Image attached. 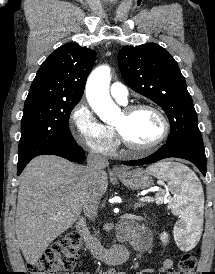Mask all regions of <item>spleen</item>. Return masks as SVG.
<instances>
[{
    "instance_id": "spleen-1",
    "label": "spleen",
    "mask_w": 215,
    "mask_h": 274,
    "mask_svg": "<svg viewBox=\"0 0 215 274\" xmlns=\"http://www.w3.org/2000/svg\"><path fill=\"white\" fill-rule=\"evenodd\" d=\"M146 171L168 182V187L157 193V203H162L168 192L173 195L171 210L179 216L174 227L175 239L193 246L200 238L204 210L203 189L197 176L187 166L170 162L150 166Z\"/></svg>"
}]
</instances>
